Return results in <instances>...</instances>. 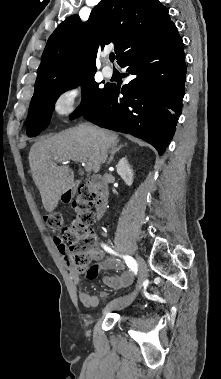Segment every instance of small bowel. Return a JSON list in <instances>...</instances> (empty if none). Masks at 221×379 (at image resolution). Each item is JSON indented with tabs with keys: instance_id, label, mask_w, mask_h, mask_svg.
Masks as SVG:
<instances>
[{
	"instance_id": "small-bowel-1",
	"label": "small bowel",
	"mask_w": 221,
	"mask_h": 379,
	"mask_svg": "<svg viewBox=\"0 0 221 379\" xmlns=\"http://www.w3.org/2000/svg\"><path fill=\"white\" fill-rule=\"evenodd\" d=\"M54 242L56 243L58 250L64 254L65 249L58 243L57 239H54ZM69 265V272L71 279L73 283L79 287L78 291V297L79 300L82 302V304L88 308H94L99 306V298L97 296H94L87 291H84L81 289V277L79 272L71 266L70 262L68 261ZM124 268V265L120 263L119 261H116L111 258H106L104 261H102L99 264H89L87 272L83 273V278L87 279L88 282H93L94 278L97 277V275L100 272V269H115V270H122ZM133 281V276L130 272L125 271L121 275L117 276H108L104 278V282L107 286L113 289H120L129 286ZM108 296V292L102 291L100 293L101 298H106Z\"/></svg>"
}]
</instances>
